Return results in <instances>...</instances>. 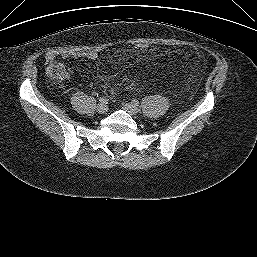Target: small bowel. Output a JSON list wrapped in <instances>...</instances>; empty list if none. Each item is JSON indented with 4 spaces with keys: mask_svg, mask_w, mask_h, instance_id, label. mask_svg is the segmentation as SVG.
<instances>
[{
    "mask_svg": "<svg viewBox=\"0 0 257 257\" xmlns=\"http://www.w3.org/2000/svg\"><path fill=\"white\" fill-rule=\"evenodd\" d=\"M57 57L63 59L69 58H86L95 59L97 58V53L95 51H76V50H50L46 54V61H54Z\"/></svg>",
    "mask_w": 257,
    "mask_h": 257,
    "instance_id": "small-bowel-1",
    "label": "small bowel"
}]
</instances>
